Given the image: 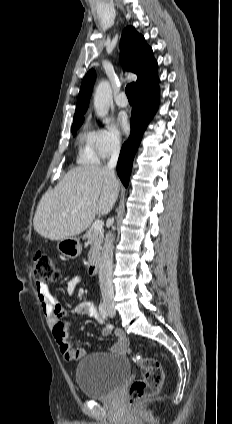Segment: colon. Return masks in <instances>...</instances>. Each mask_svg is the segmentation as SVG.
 Instances as JSON below:
<instances>
[{
	"label": "colon",
	"instance_id": "5ec220e1",
	"mask_svg": "<svg viewBox=\"0 0 232 424\" xmlns=\"http://www.w3.org/2000/svg\"><path fill=\"white\" fill-rule=\"evenodd\" d=\"M34 275L37 281L46 283L56 282L61 277L53 257L40 251L34 254ZM134 361L144 372V376L130 385L128 390L130 404L157 394L163 380L162 368L156 359L136 355Z\"/></svg>",
	"mask_w": 232,
	"mask_h": 424
}]
</instances>
